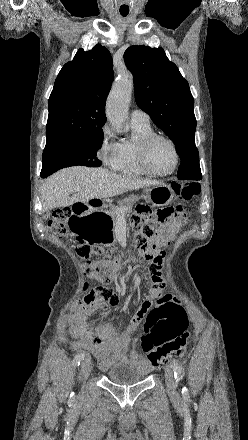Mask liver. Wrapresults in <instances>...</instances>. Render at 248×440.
Returning <instances> with one entry per match:
<instances>
[{"label": "liver", "mask_w": 248, "mask_h": 440, "mask_svg": "<svg viewBox=\"0 0 248 440\" xmlns=\"http://www.w3.org/2000/svg\"><path fill=\"white\" fill-rule=\"evenodd\" d=\"M158 184L160 183L157 181L119 175L103 168L74 166L62 169L44 181L41 201L43 210L48 211Z\"/></svg>", "instance_id": "1"}]
</instances>
